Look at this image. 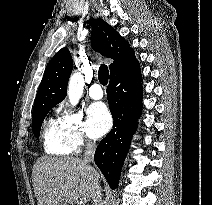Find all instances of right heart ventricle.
<instances>
[{
    "mask_svg": "<svg viewBox=\"0 0 212 205\" xmlns=\"http://www.w3.org/2000/svg\"><path fill=\"white\" fill-rule=\"evenodd\" d=\"M43 146L50 155L66 156L73 152L61 118H51L47 121L43 131Z\"/></svg>",
    "mask_w": 212,
    "mask_h": 205,
    "instance_id": "e07e8e85",
    "label": "right heart ventricle"
}]
</instances>
